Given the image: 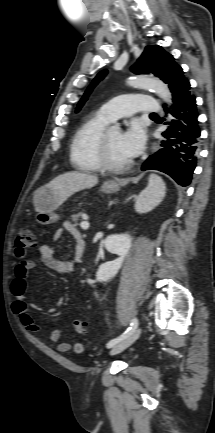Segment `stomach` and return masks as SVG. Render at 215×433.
<instances>
[{
	"mask_svg": "<svg viewBox=\"0 0 215 433\" xmlns=\"http://www.w3.org/2000/svg\"><path fill=\"white\" fill-rule=\"evenodd\" d=\"M118 190L119 185L115 182H106L101 188V191L107 194L115 193ZM34 205L38 212L37 221L40 224L49 225L59 219L56 210L60 202L52 188L44 186L37 189L34 192Z\"/></svg>",
	"mask_w": 215,
	"mask_h": 433,
	"instance_id": "obj_1",
	"label": "stomach"
}]
</instances>
